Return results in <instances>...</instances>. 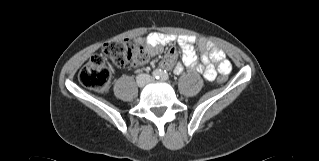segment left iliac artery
<instances>
[{
  "instance_id": "44dca946",
  "label": "left iliac artery",
  "mask_w": 319,
  "mask_h": 161,
  "mask_svg": "<svg viewBox=\"0 0 319 161\" xmlns=\"http://www.w3.org/2000/svg\"><path fill=\"white\" fill-rule=\"evenodd\" d=\"M160 78H161L162 80H164V81H167V80H169V75H168V73H167L166 71H161V76H160Z\"/></svg>"
}]
</instances>
